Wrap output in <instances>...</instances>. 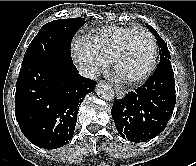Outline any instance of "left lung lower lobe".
I'll use <instances>...</instances> for the list:
<instances>
[{
	"label": "left lung lower lobe",
	"mask_w": 196,
	"mask_h": 166,
	"mask_svg": "<svg viewBox=\"0 0 196 166\" xmlns=\"http://www.w3.org/2000/svg\"><path fill=\"white\" fill-rule=\"evenodd\" d=\"M175 102L174 72L170 59H165L142 87L114 101L111 114L123 138L144 142L165 129Z\"/></svg>",
	"instance_id": "0a47b994"
}]
</instances>
